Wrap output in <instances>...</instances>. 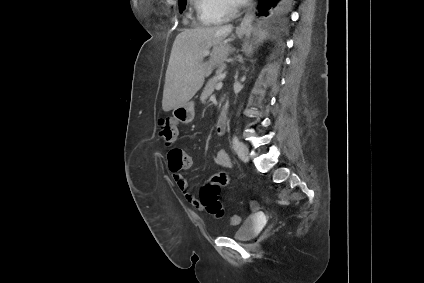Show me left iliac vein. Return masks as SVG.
I'll list each match as a JSON object with an SVG mask.
<instances>
[{
  "label": "left iliac vein",
  "instance_id": "left-iliac-vein-1",
  "mask_svg": "<svg viewBox=\"0 0 424 283\" xmlns=\"http://www.w3.org/2000/svg\"><path fill=\"white\" fill-rule=\"evenodd\" d=\"M237 154L242 161L247 162L249 160V150L245 144L240 143Z\"/></svg>",
  "mask_w": 424,
  "mask_h": 283
}]
</instances>
